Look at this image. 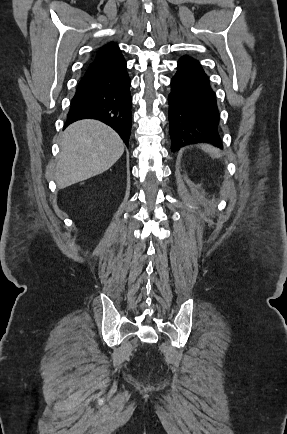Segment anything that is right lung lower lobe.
Wrapping results in <instances>:
<instances>
[{
  "instance_id": "right-lung-lower-lobe-1",
  "label": "right lung lower lobe",
  "mask_w": 287,
  "mask_h": 434,
  "mask_svg": "<svg viewBox=\"0 0 287 434\" xmlns=\"http://www.w3.org/2000/svg\"><path fill=\"white\" fill-rule=\"evenodd\" d=\"M130 85L121 51L94 59L78 84L65 126L80 119H97L111 126L128 145L132 122Z\"/></svg>"
}]
</instances>
